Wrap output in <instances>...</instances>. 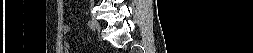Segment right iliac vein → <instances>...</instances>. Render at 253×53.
<instances>
[{
  "mask_svg": "<svg viewBox=\"0 0 253 53\" xmlns=\"http://www.w3.org/2000/svg\"><path fill=\"white\" fill-rule=\"evenodd\" d=\"M92 21L94 24V29L99 32L100 31V24H99L98 20L95 17H92Z\"/></svg>",
  "mask_w": 253,
  "mask_h": 53,
  "instance_id": "obj_1",
  "label": "right iliac vein"
}]
</instances>
